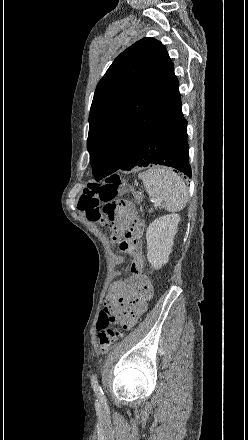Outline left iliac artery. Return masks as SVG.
Masks as SVG:
<instances>
[{
	"instance_id": "1",
	"label": "left iliac artery",
	"mask_w": 248,
	"mask_h": 440,
	"mask_svg": "<svg viewBox=\"0 0 248 440\" xmlns=\"http://www.w3.org/2000/svg\"><path fill=\"white\" fill-rule=\"evenodd\" d=\"M91 385H92L95 393L97 394V396L99 398H102L104 393H103L101 387L98 384V380H97V376L96 375H92V377H91Z\"/></svg>"
}]
</instances>
